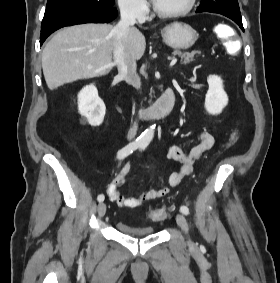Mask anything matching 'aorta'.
<instances>
[{
  "instance_id": "1",
  "label": "aorta",
  "mask_w": 280,
  "mask_h": 283,
  "mask_svg": "<svg viewBox=\"0 0 280 283\" xmlns=\"http://www.w3.org/2000/svg\"><path fill=\"white\" fill-rule=\"evenodd\" d=\"M154 130H155V125L150 126L148 129H146L141 137H140V141L144 144H148L150 143V141L153 139L154 137Z\"/></svg>"
}]
</instances>
